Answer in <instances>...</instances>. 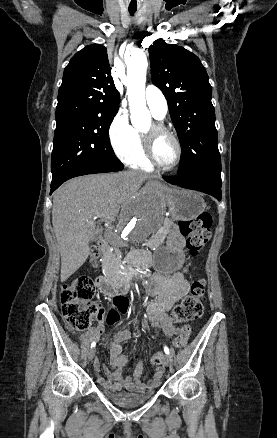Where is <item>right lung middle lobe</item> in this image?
<instances>
[{"label": "right lung middle lobe", "mask_w": 277, "mask_h": 438, "mask_svg": "<svg viewBox=\"0 0 277 438\" xmlns=\"http://www.w3.org/2000/svg\"><path fill=\"white\" fill-rule=\"evenodd\" d=\"M114 116H56L51 158L52 180L70 170L96 165H122L109 140Z\"/></svg>", "instance_id": "1"}]
</instances>
